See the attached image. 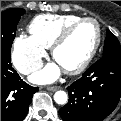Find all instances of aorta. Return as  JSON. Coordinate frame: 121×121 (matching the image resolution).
Returning a JSON list of instances; mask_svg holds the SVG:
<instances>
[{"label": "aorta", "mask_w": 121, "mask_h": 121, "mask_svg": "<svg viewBox=\"0 0 121 121\" xmlns=\"http://www.w3.org/2000/svg\"><path fill=\"white\" fill-rule=\"evenodd\" d=\"M54 100L57 104L64 105L68 101V96L66 92L60 90L54 94Z\"/></svg>", "instance_id": "1"}]
</instances>
